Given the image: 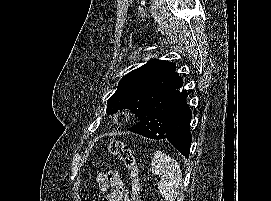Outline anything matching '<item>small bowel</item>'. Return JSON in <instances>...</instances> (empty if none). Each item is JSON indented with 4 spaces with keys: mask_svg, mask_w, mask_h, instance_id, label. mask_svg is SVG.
Returning a JSON list of instances; mask_svg holds the SVG:
<instances>
[{
    "mask_svg": "<svg viewBox=\"0 0 271 201\" xmlns=\"http://www.w3.org/2000/svg\"><path fill=\"white\" fill-rule=\"evenodd\" d=\"M97 184L104 193L103 201H130L120 174L115 170L100 173Z\"/></svg>",
    "mask_w": 271,
    "mask_h": 201,
    "instance_id": "c3829d8e",
    "label": "small bowel"
}]
</instances>
